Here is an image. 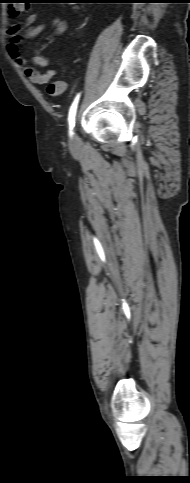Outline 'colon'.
I'll use <instances>...</instances> for the list:
<instances>
[{
	"label": "colon",
	"mask_w": 190,
	"mask_h": 483,
	"mask_svg": "<svg viewBox=\"0 0 190 483\" xmlns=\"http://www.w3.org/2000/svg\"><path fill=\"white\" fill-rule=\"evenodd\" d=\"M32 0H12L9 2L8 12L13 17L22 16L28 13Z\"/></svg>",
	"instance_id": "colon-1"
}]
</instances>
